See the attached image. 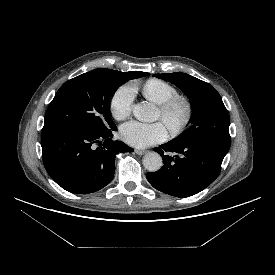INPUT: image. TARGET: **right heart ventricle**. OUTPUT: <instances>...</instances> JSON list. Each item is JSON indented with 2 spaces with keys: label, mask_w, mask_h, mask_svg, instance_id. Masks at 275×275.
<instances>
[{
  "label": "right heart ventricle",
  "mask_w": 275,
  "mask_h": 275,
  "mask_svg": "<svg viewBox=\"0 0 275 275\" xmlns=\"http://www.w3.org/2000/svg\"><path fill=\"white\" fill-rule=\"evenodd\" d=\"M142 92L146 99L157 105L178 95L177 89L172 84L156 78L147 80L143 85Z\"/></svg>",
  "instance_id": "right-heart-ventricle-1"
}]
</instances>
